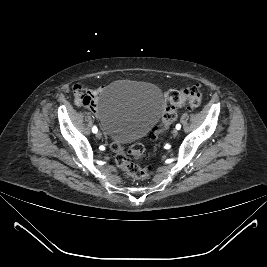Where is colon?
Here are the masks:
<instances>
[{
  "label": "colon",
  "mask_w": 267,
  "mask_h": 267,
  "mask_svg": "<svg viewBox=\"0 0 267 267\" xmlns=\"http://www.w3.org/2000/svg\"><path fill=\"white\" fill-rule=\"evenodd\" d=\"M202 102V89L199 85L170 89L165 94V105L162 113V125L154 128L150 138L155 140L174 122L177 117V109L186 106L189 110L197 109ZM115 162L117 167L129 178L143 180L150 176L148 167L138 163L144 155L145 148L140 143L131 145L125 150L120 144H113Z\"/></svg>",
  "instance_id": "colon-1"
}]
</instances>
